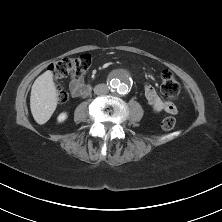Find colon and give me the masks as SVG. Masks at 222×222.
Masks as SVG:
<instances>
[{"instance_id":"5ec220e1","label":"colon","mask_w":222,"mask_h":222,"mask_svg":"<svg viewBox=\"0 0 222 222\" xmlns=\"http://www.w3.org/2000/svg\"><path fill=\"white\" fill-rule=\"evenodd\" d=\"M92 65V57L89 54H82L74 58H62L49 65V70L57 80L70 75L82 76L86 74ZM161 90L166 98H176L180 92V85L176 77L170 71H164L161 76ZM57 99L64 103L67 99L66 92L62 87L57 88ZM176 120L172 116L165 117L162 121L164 130H171L175 127Z\"/></svg>"}]
</instances>
